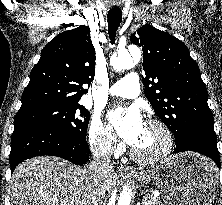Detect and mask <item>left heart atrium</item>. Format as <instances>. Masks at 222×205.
Wrapping results in <instances>:
<instances>
[{"instance_id": "obj_1", "label": "left heart atrium", "mask_w": 222, "mask_h": 205, "mask_svg": "<svg viewBox=\"0 0 222 205\" xmlns=\"http://www.w3.org/2000/svg\"><path fill=\"white\" fill-rule=\"evenodd\" d=\"M109 118L120 137L129 145L134 146L145 126L139 109L134 106L118 108L109 113Z\"/></svg>"}]
</instances>
